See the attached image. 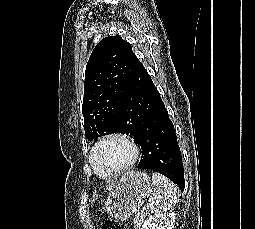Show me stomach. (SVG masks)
I'll return each instance as SVG.
<instances>
[{
	"mask_svg": "<svg viewBox=\"0 0 255 229\" xmlns=\"http://www.w3.org/2000/svg\"><path fill=\"white\" fill-rule=\"evenodd\" d=\"M150 176L143 171L125 173L110 190L104 203L109 216L119 221H126L138 211L143 199L152 192Z\"/></svg>",
	"mask_w": 255,
	"mask_h": 229,
	"instance_id": "stomach-1",
	"label": "stomach"
}]
</instances>
